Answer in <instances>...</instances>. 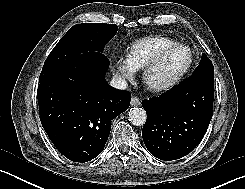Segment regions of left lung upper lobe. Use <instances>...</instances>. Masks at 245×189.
<instances>
[{"instance_id":"1","label":"left lung upper lobe","mask_w":245,"mask_h":189,"mask_svg":"<svg viewBox=\"0 0 245 189\" xmlns=\"http://www.w3.org/2000/svg\"><path fill=\"white\" fill-rule=\"evenodd\" d=\"M194 75H203L210 79L214 80V67L211 60L205 55L202 54L201 60L197 68L195 69Z\"/></svg>"}]
</instances>
